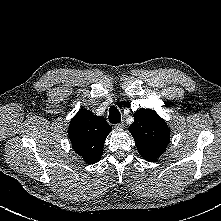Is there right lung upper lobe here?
<instances>
[{"label":"right lung upper lobe","instance_id":"obj_1","mask_svg":"<svg viewBox=\"0 0 221 221\" xmlns=\"http://www.w3.org/2000/svg\"><path fill=\"white\" fill-rule=\"evenodd\" d=\"M112 127L90 110H79L69 125V139L74 151L87 163H95L103 155V146Z\"/></svg>","mask_w":221,"mask_h":221}]
</instances>
